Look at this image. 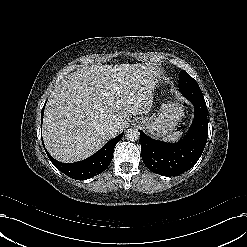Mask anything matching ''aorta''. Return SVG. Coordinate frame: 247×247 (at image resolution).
Masks as SVG:
<instances>
[{"label": "aorta", "mask_w": 247, "mask_h": 247, "mask_svg": "<svg viewBox=\"0 0 247 247\" xmlns=\"http://www.w3.org/2000/svg\"><path fill=\"white\" fill-rule=\"evenodd\" d=\"M125 137L128 141L134 142L137 141L140 137V133L136 128H130L126 131Z\"/></svg>", "instance_id": "1"}]
</instances>
